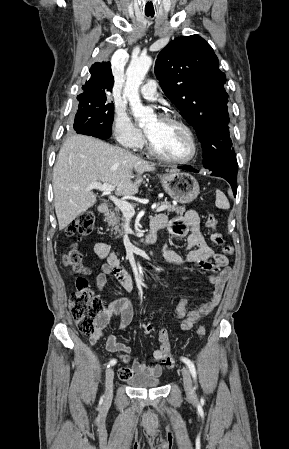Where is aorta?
<instances>
[{"label": "aorta", "instance_id": "762f6f07", "mask_svg": "<svg viewBox=\"0 0 289 449\" xmlns=\"http://www.w3.org/2000/svg\"><path fill=\"white\" fill-rule=\"evenodd\" d=\"M151 65V57L141 55L140 57L131 60L126 71L124 96L128 98L133 115L138 119L140 126L145 125L154 116L151 108L142 105L139 96V86L142 84Z\"/></svg>", "mask_w": 289, "mask_h": 449}]
</instances>
